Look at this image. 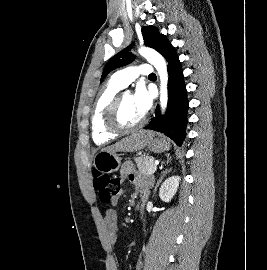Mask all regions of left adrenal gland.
I'll list each match as a JSON object with an SVG mask.
<instances>
[{
	"label": "left adrenal gland",
	"instance_id": "left-adrenal-gland-1",
	"mask_svg": "<svg viewBox=\"0 0 267 270\" xmlns=\"http://www.w3.org/2000/svg\"><path fill=\"white\" fill-rule=\"evenodd\" d=\"M171 171V169L169 170H164V171H161V174H160V177L159 179L157 180V183H156V186H155V189H154V192H156V189L157 187L159 186V183L162 181V179Z\"/></svg>",
	"mask_w": 267,
	"mask_h": 270
}]
</instances>
